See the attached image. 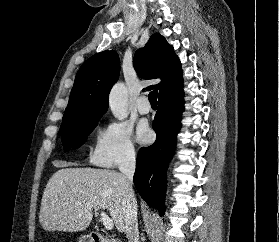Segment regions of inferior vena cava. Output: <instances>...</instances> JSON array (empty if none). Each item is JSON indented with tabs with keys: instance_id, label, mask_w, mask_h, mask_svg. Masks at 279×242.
Masks as SVG:
<instances>
[{
	"instance_id": "1",
	"label": "inferior vena cava",
	"mask_w": 279,
	"mask_h": 242,
	"mask_svg": "<svg viewBox=\"0 0 279 242\" xmlns=\"http://www.w3.org/2000/svg\"><path fill=\"white\" fill-rule=\"evenodd\" d=\"M135 164V151L132 149L125 154L119 165L120 172L126 177L125 192L127 194L128 201L125 217V233L128 242H139L137 203L132 187Z\"/></svg>"
}]
</instances>
